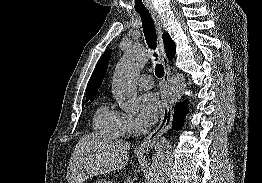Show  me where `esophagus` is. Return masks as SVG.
Wrapping results in <instances>:
<instances>
[{
    "label": "esophagus",
    "mask_w": 262,
    "mask_h": 183,
    "mask_svg": "<svg viewBox=\"0 0 262 183\" xmlns=\"http://www.w3.org/2000/svg\"><path fill=\"white\" fill-rule=\"evenodd\" d=\"M152 19L155 23V27L158 33V45L161 54L162 64L164 66V76L161 86L162 93L167 86V83L170 79V67L169 61L164 52L163 42H162V20L159 14L156 11H151ZM173 115L172 106L167 102L162 95V115L159 125L140 143L139 150L140 151H149L156 143V141L161 137L171 126Z\"/></svg>",
    "instance_id": "34e87169"
}]
</instances>
